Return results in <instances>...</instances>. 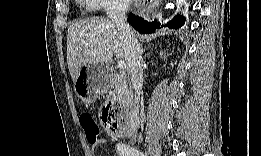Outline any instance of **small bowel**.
Segmentation results:
<instances>
[{
	"mask_svg": "<svg viewBox=\"0 0 261 156\" xmlns=\"http://www.w3.org/2000/svg\"><path fill=\"white\" fill-rule=\"evenodd\" d=\"M105 142H106L105 139L100 138V139L97 141L96 145H103V144H105ZM118 154H119V153H118ZM119 155H120V154H119Z\"/></svg>",
	"mask_w": 261,
	"mask_h": 156,
	"instance_id": "1",
	"label": "small bowel"
}]
</instances>
